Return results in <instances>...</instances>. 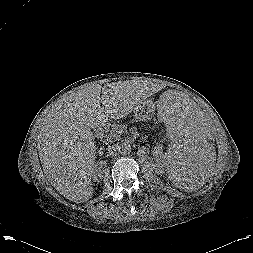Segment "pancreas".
I'll return each instance as SVG.
<instances>
[{"instance_id":"cf45deb5","label":"pancreas","mask_w":253,"mask_h":253,"mask_svg":"<svg viewBox=\"0 0 253 253\" xmlns=\"http://www.w3.org/2000/svg\"><path fill=\"white\" fill-rule=\"evenodd\" d=\"M122 132L123 130L121 127L112 126L111 128L110 127L102 128L101 132L98 135L106 138V141H111L113 139L118 140Z\"/></svg>"}]
</instances>
